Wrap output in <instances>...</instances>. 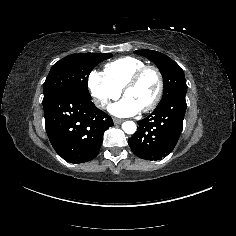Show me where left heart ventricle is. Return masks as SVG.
<instances>
[{
	"instance_id": "left-heart-ventricle-1",
	"label": "left heart ventricle",
	"mask_w": 236,
	"mask_h": 236,
	"mask_svg": "<svg viewBox=\"0 0 236 236\" xmlns=\"http://www.w3.org/2000/svg\"><path fill=\"white\" fill-rule=\"evenodd\" d=\"M157 90L156 75L148 71L131 88H129L124 97L130 99L140 109L146 107L154 98Z\"/></svg>"
}]
</instances>
